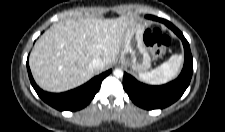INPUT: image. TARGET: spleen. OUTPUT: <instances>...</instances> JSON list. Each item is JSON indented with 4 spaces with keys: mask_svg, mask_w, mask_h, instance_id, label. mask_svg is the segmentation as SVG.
Returning <instances> with one entry per match:
<instances>
[{
    "mask_svg": "<svg viewBox=\"0 0 225 132\" xmlns=\"http://www.w3.org/2000/svg\"><path fill=\"white\" fill-rule=\"evenodd\" d=\"M183 62L182 55H172L168 61L157 68L139 74V79L150 85H162L173 80L179 73Z\"/></svg>",
    "mask_w": 225,
    "mask_h": 132,
    "instance_id": "spleen-1",
    "label": "spleen"
}]
</instances>
